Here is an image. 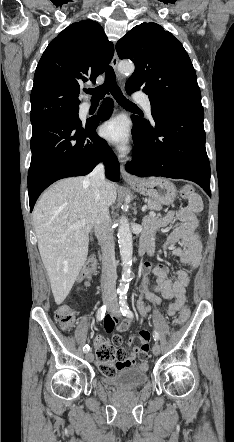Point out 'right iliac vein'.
<instances>
[{"mask_svg":"<svg viewBox=\"0 0 234 442\" xmlns=\"http://www.w3.org/2000/svg\"><path fill=\"white\" fill-rule=\"evenodd\" d=\"M86 359H87L88 361L92 362L93 359H94V355H93V353H92V352H87V354H86Z\"/></svg>","mask_w":234,"mask_h":442,"instance_id":"1","label":"right iliac vein"}]
</instances>
